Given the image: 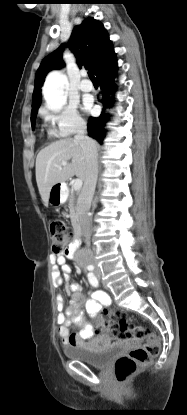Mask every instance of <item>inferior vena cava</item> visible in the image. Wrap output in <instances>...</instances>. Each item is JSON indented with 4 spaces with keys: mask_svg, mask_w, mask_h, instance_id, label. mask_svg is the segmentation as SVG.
<instances>
[{
    "mask_svg": "<svg viewBox=\"0 0 187 415\" xmlns=\"http://www.w3.org/2000/svg\"><path fill=\"white\" fill-rule=\"evenodd\" d=\"M87 126L82 123L77 128L75 140L80 144L86 161V170L84 185L77 202V215L82 229L84 242L88 243L91 237V223L89 219V210L96 188L98 177L97 147L95 141L86 135ZM80 255L87 258L93 256L90 248H84L79 251Z\"/></svg>",
    "mask_w": 187,
    "mask_h": 415,
    "instance_id": "1",
    "label": "inferior vena cava"
}]
</instances>
